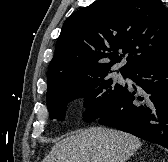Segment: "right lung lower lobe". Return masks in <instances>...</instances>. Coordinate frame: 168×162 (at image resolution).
<instances>
[{
    "mask_svg": "<svg viewBox=\"0 0 168 162\" xmlns=\"http://www.w3.org/2000/svg\"><path fill=\"white\" fill-rule=\"evenodd\" d=\"M127 77L138 89L125 85L100 124L168 148V54L140 64Z\"/></svg>",
    "mask_w": 168,
    "mask_h": 162,
    "instance_id": "right-lung-lower-lobe-1",
    "label": "right lung lower lobe"
}]
</instances>
